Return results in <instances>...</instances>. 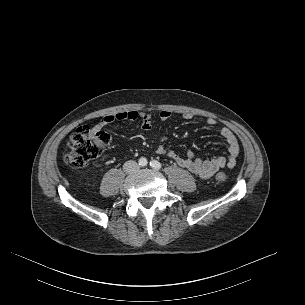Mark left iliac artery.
I'll use <instances>...</instances> for the list:
<instances>
[{
  "mask_svg": "<svg viewBox=\"0 0 305 305\" xmlns=\"http://www.w3.org/2000/svg\"><path fill=\"white\" fill-rule=\"evenodd\" d=\"M150 166L154 169H160L161 168V163L157 160H153L150 162Z\"/></svg>",
  "mask_w": 305,
  "mask_h": 305,
  "instance_id": "obj_1",
  "label": "left iliac artery"
}]
</instances>
